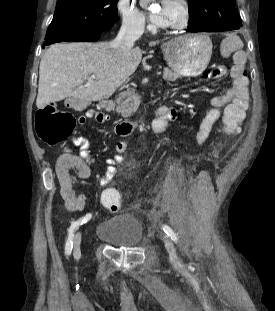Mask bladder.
Instances as JSON below:
<instances>
[{
  "label": "bladder",
  "mask_w": 275,
  "mask_h": 311,
  "mask_svg": "<svg viewBox=\"0 0 275 311\" xmlns=\"http://www.w3.org/2000/svg\"><path fill=\"white\" fill-rule=\"evenodd\" d=\"M96 236L115 248H135L143 243L144 230L135 213L120 212L102 220Z\"/></svg>",
  "instance_id": "bladder-1"
}]
</instances>
